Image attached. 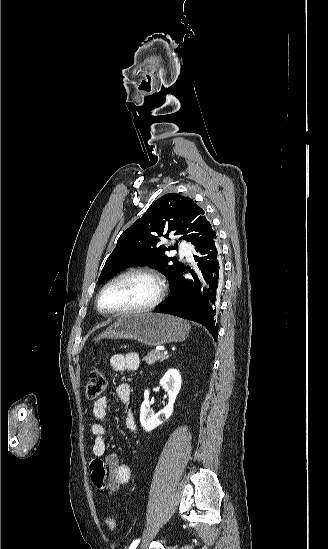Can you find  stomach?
I'll return each mask as SVG.
<instances>
[{
    "label": "stomach",
    "instance_id": "obj_1",
    "mask_svg": "<svg viewBox=\"0 0 328 549\" xmlns=\"http://www.w3.org/2000/svg\"><path fill=\"white\" fill-rule=\"evenodd\" d=\"M190 331V325L184 319L162 313H127L118 317L106 331L94 339H133L149 347H160L166 343H181L185 341Z\"/></svg>",
    "mask_w": 328,
    "mask_h": 549
}]
</instances>
